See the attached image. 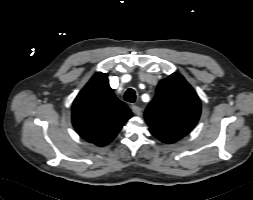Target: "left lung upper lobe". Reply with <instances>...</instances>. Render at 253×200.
<instances>
[{
    "instance_id": "5c2ea615",
    "label": "left lung upper lobe",
    "mask_w": 253,
    "mask_h": 200,
    "mask_svg": "<svg viewBox=\"0 0 253 200\" xmlns=\"http://www.w3.org/2000/svg\"><path fill=\"white\" fill-rule=\"evenodd\" d=\"M200 99L180 74L159 82L156 95L145 111L151 132L176 135L189 133L199 120Z\"/></svg>"
}]
</instances>
